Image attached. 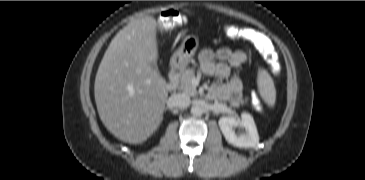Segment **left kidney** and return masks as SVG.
<instances>
[{
  "label": "left kidney",
  "mask_w": 365,
  "mask_h": 180,
  "mask_svg": "<svg viewBox=\"0 0 365 180\" xmlns=\"http://www.w3.org/2000/svg\"><path fill=\"white\" fill-rule=\"evenodd\" d=\"M218 124L227 142L236 147H255L259 142L253 117L246 112L242 113L241 119L236 116L222 117Z\"/></svg>",
  "instance_id": "obj_1"
}]
</instances>
